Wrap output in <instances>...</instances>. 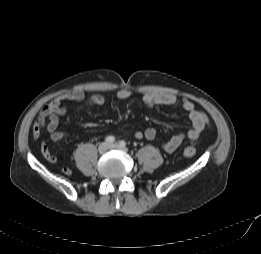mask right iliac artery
<instances>
[{
  "instance_id": "1",
  "label": "right iliac artery",
  "mask_w": 261,
  "mask_h": 254,
  "mask_svg": "<svg viewBox=\"0 0 261 254\" xmlns=\"http://www.w3.org/2000/svg\"><path fill=\"white\" fill-rule=\"evenodd\" d=\"M105 141L109 144L113 143L115 141V138L113 136L106 137Z\"/></svg>"
}]
</instances>
